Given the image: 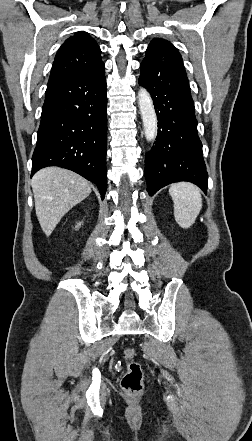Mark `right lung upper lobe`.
I'll return each mask as SVG.
<instances>
[{"label":"right lung upper lobe","instance_id":"obj_1","mask_svg":"<svg viewBox=\"0 0 252 441\" xmlns=\"http://www.w3.org/2000/svg\"><path fill=\"white\" fill-rule=\"evenodd\" d=\"M100 53L101 50L92 37L84 31L76 33L59 48L48 85L103 66Z\"/></svg>","mask_w":252,"mask_h":441}]
</instances>
